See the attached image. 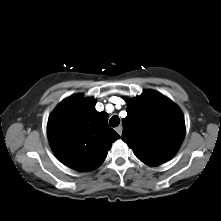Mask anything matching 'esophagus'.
<instances>
[{
  "label": "esophagus",
  "instance_id": "esophagus-1",
  "mask_svg": "<svg viewBox=\"0 0 221 221\" xmlns=\"http://www.w3.org/2000/svg\"><path fill=\"white\" fill-rule=\"evenodd\" d=\"M116 131H117V133L119 134V135H121L122 134V131H123V127L120 125V126H118L117 128H116Z\"/></svg>",
  "mask_w": 221,
  "mask_h": 221
}]
</instances>
